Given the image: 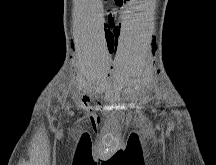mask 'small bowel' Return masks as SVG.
Returning <instances> with one entry per match:
<instances>
[{
  "mask_svg": "<svg viewBox=\"0 0 216 165\" xmlns=\"http://www.w3.org/2000/svg\"><path fill=\"white\" fill-rule=\"evenodd\" d=\"M104 37L108 49L113 52L118 49L120 40L122 38V27L117 23L113 16L110 14L104 24Z\"/></svg>",
  "mask_w": 216,
  "mask_h": 165,
  "instance_id": "c3829d8e",
  "label": "small bowel"
}]
</instances>
